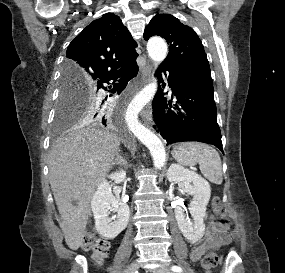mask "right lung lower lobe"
<instances>
[{"label": "right lung lower lobe", "instance_id": "right-lung-lower-lobe-1", "mask_svg": "<svg viewBox=\"0 0 285 273\" xmlns=\"http://www.w3.org/2000/svg\"><path fill=\"white\" fill-rule=\"evenodd\" d=\"M138 73V65L136 62L125 66L123 68H120L118 70H115L113 72L108 73L107 75L97 79L93 85L97 88H103L107 90L106 87H104V83L112 84V89L110 90L112 93L117 92L120 94L122 90L126 87L127 82L131 80L133 77H135ZM111 118V110L103 108L102 114L99 118V120L102 119V123L106 124V122L110 121Z\"/></svg>", "mask_w": 285, "mask_h": 273}]
</instances>
